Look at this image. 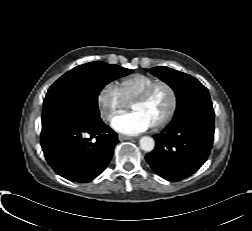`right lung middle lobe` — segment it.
Instances as JSON below:
<instances>
[{
    "label": "right lung middle lobe",
    "instance_id": "right-lung-middle-lobe-1",
    "mask_svg": "<svg viewBox=\"0 0 252 231\" xmlns=\"http://www.w3.org/2000/svg\"><path fill=\"white\" fill-rule=\"evenodd\" d=\"M133 71L102 61L79 65L60 77L43 103L42 124L61 115L100 118L98 94L109 82Z\"/></svg>",
    "mask_w": 252,
    "mask_h": 231
}]
</instances>
